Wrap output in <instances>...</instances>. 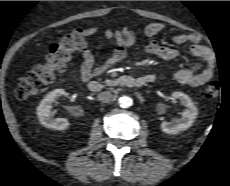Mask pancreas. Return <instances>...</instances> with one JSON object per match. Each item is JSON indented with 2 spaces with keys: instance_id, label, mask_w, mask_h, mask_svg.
<instances>
[{
  "instance_id": "cf45deb5",
  "label": "pancreas",
  "mask_w": 230,
  "mask_h": 186,
  "mask_svg": "<svg viewBox=\"0 0 230 186\" xmlns=\"http://www.w3.org/2000/svg\"><path fill=\"white\" fill-rule=\"evenodd\" d=\"M119 80L115 79V80H111V79H107L104 81L105 84H107L108 86H115L119 84Z\"/></svg>"
}]
</instances>
